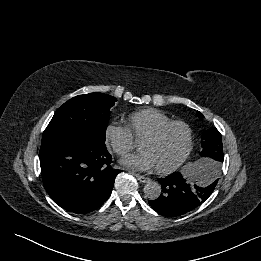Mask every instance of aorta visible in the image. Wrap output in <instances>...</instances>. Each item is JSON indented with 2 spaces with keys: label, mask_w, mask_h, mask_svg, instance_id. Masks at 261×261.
Instances as JSON below:
<instances>
[{
  "label": "aorta",
  "mask_w": 261,
  "mask_h": 261,
  "mask_svg": "<svg viewBox=\"0 0 261 261\" xmlns=\"http://www.w3.org/2000/svg\"><path fill=\"white\" fill-rule=\"evenodd\" d=\"M145 195L151 199H157L161 194V185L158 182L150 181L144 186Z\"/></svg>",
  "instance_id": "1"
}]
</instances>
